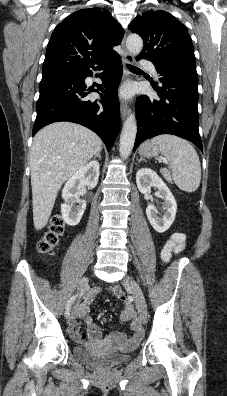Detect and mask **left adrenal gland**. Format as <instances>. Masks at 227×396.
I'll list each match as a JSON object with an SVG mask.
<instances>
[{"instance_id":"obj_1","label":"left adrenal gland","mask_w":227,"mask_h":396,"mask_svg":"<svg viewBox=\"0 0 227 396\" xmlns=\"http://www.w3.org/2000/svg\"><path fill=\"white\" fill-rule=\"evenodd\" d=\"M142 160H144V159H143V158H140V159H139V162H141Z\"/></svg>"}]
</instances>
